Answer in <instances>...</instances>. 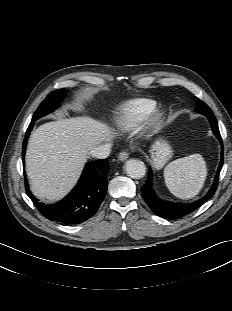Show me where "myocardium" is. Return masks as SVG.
<instances>
[{"label": "myocardium", "instance_id": "obj_1", "mask_svg": "<svg viewBox=\"0 0 232 311\" xmlns=\"http://www.w3.org/2000/svg\"><path fill=\"white\" fill-rule=\"evenodd\" d=\"M158 115H154L150 118H148L145 123L142 125V132L143 133H148L150 131H152L155 127L156 124L158 122Z\"/></svg>", "mask_w": 232, "mask_h": 311}]
</instances>
